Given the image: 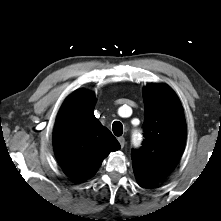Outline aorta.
<instances>
[{"mask_svg":"<svg viewBox=\"0 0 221 221\" xmlns=\"http://www.w3.org/2000/svg\"><path fill=\"white\" fill-rule=\"evenodd\" d=\"M141 142V135L139 132L134 131L132 134V144L134 147H138Z\"/></svg>","mask_w":221,"mask_h":221,"instance_id":"762f6f07","label":"aorta"}]
</instances>
